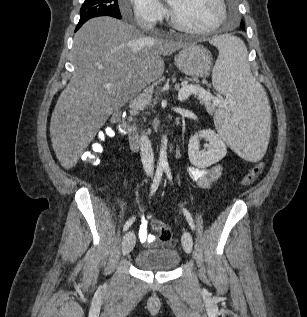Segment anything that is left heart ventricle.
Wrapping results in <instances>:
<instances>
[{
    "label": "left heart ventricle",
    "mask_w": 307,
    "mask_h": 317,
    "mask_svg": "<svg viewBox=\"0 0 307 317\" xmlns=\"http://www.w3.org/2000/svg\"><path fill=\"white\" fill-rule=\"evenodd\" d=\"M168 3L176 17L192 28H208L220 15L217 0H168Z\"/></svg>",
    "instance_id": "left-heart-ventricle-1"
}]
</instances>
